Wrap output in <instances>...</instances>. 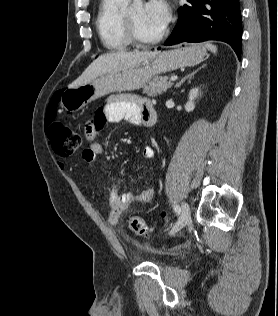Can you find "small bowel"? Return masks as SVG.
<instances>
[{
	"label": "small bowel",
	"instance_id": "1",
	"mask_svg": "<svg viewBox=\"0 0 278 316\" xmlns=\"http://www.w3.org/2000/svg\"><path fill=\"white\" fill-rule=\"evenodd\" d=\"M152 107L150 100L131 94L113 95L107 98L104 106L97 109L93 119L85 127L86 138L89 145L82 152V159L90 165H97L103 155L102 146L95 141L96 135L105 121L119 122L126 120L133 125L143 123L145 111ZM154 157L153 148L146 146L141 152L143 160ZM124 180L119 181L109 193L108 201L110 213L108 222L112 226L119 223L121 214L131 205L148 203L153 196V188L148 187L138 194L121 192ZM165 217V213L162 214Z\"/></svg>",
	"mask_w": 278,
	"mask_h": 316
}]
</instances>
